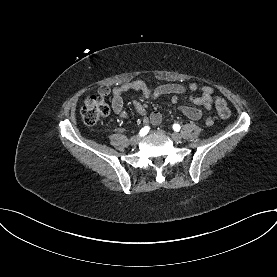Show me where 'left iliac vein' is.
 Segmentation results:
<instances>
[{"instance_id": "4c4485c4", "label": "left iliac vein", "mask_w": 277, "mask_h": 277, "mask_svg": "<svg viewBox=\"0 0 277 277\" xmlns=\"http://www.w3.org/2000/svg\"><path fill=\"white\" fill-rule=\"evenodd\" d=\"M171 138L174 140V141H176V142H179L180 140H181V135L179 134V133H172L171 134Z\"/></svg>"}]
</instances>
